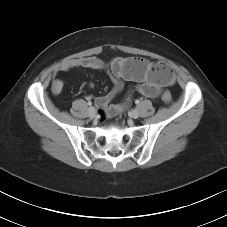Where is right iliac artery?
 <instances>
[{"label": "right iliac artery", "instance_id": "obj_1", "mask_svg": "<svg viewBox=\"0 0 227 227\" xmlns=\"http://www.w3.org/2000/svg\"><path fill=\"white\" fill-rule=\"evenodd\" d=\"M88 105H90V106H91V105H92V103H91V102H88ZM90 108H93V107L91 106Z\"/></svg>", "mask_w": 227, "mask_h": 227}]
</instances>
